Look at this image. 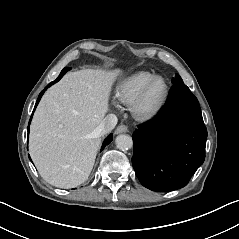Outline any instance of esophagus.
I'll return each instance as SVG.
<instances>
[{
	"mask_svg": "<svg viewBox=\"0 0 239 239\" xmlns=\"http://www.w3.org/2000/svg\"><path fill=\"white\" fill-rule=\"evenodd\" d=\"M127 131H128V127L126 125H119L115 130V134L124 133Z\"/></svg>",
	"mask_w": 239,
	"mask_h": 239,
	"instance_id": "obj_1",
	"label": "esophagus"
}]
</instances>
